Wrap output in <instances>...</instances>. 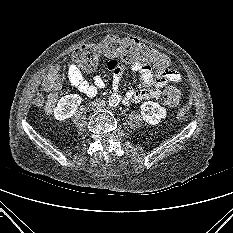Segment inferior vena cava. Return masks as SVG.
<instances>
[{"label": "inferior vena cava", "instance_id": "1", "mask_svg": "<svg viewBox=\"0 0 233 233\" xmlns=\"http://www.w3.org/2000/svg\"><path fill=\"white\" fill-rule=\"evenodd\" d=\"M105 105V101L102 99H96L93 103L92 106L93 108H95L96 110L102 108Z\"/></svg>", "mask_w": 233, "mask_h": 233}]
</instances>
